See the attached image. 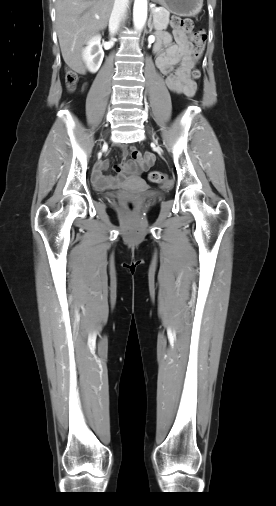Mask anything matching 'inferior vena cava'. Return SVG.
<instances>
[{
	"mask_svg": "<svg viewBox=\"0 0 276 506\" xmlns=\"http://www.w3.org/2000/svg\"><path fill=\"white\" fill-rule=\"evenodd\" d=\"M129 5V0H114V6L109 20V31L114 35L120 25L121 20L124 18Z\"/></svg>",
	"mask_w": 276,
	"mask_h": 506,
	"instance_id": "inferior-vena-cava-1",
	"label": "inferior vena cava"
}]
</instances>
